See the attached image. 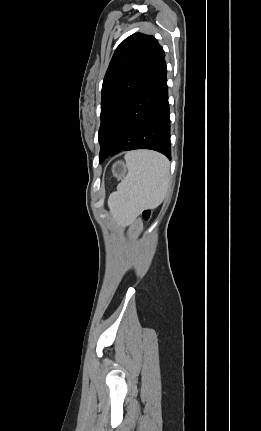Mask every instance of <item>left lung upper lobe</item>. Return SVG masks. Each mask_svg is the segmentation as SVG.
I'll list each match as a JSON object with an SVG mask.
<instances>
[{
  "label": "left lung upper lobe",
  "mask_w": 261,
  "mask_h": 431,
  "mask_svg": "<svg viewBox=\"0 0 261 431\" xmlns=\"http://www.w3.org/2000/svg\"><path fill=\"white\" fill-rule=\"evenodd\" d=\"M164 57L158 41L142 33L129 36L115 50L102 84L100 163L108 157L131 101Z\"/></svg>",
  "instance_id": "5c2ea615"
}]
</instances>
